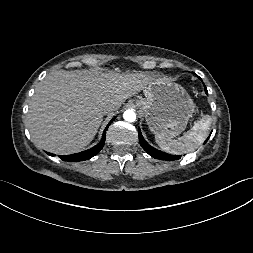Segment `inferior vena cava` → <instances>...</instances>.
<instances>
[{
	"label": "inferior vena cava",
	"instance_id": "602c4592",
	"mask_svg": "<svg viewBox=\"0 0 253 253\" xmlns=\"http://www.w3.org/2000/svg\"><path fill=\"white\" fill-rule=\"evenodd\" d=\"M114 109H115V107L113 105H108L105 107L104 112L106 114H109V113H112Z\"/></svg>",
	"mask_w": 253,
	"mask_h": 253
}]
</instances>
